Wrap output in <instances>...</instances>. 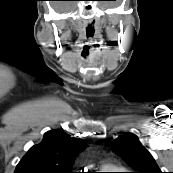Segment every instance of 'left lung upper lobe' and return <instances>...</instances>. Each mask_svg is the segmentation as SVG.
Here are the masks:
<instances>
[{
    "label": "left lung upper lobe",
    "instance_id": "obj_1",
    "mask_svg": "<svg viewBox=\"0 0 173 173\" xmlns=\"http://www.w3.org/2000/svg\"><path fill=\"white\" fill-rule=\"evenodd\" d=\"M111 148L120 155L135 173H162L152 155L134 134H126L113 141Z\"/></svg>",
    "mask_w": 173,
    "mask_h": 173
}]
</instances>
